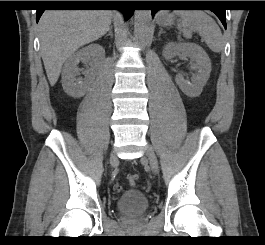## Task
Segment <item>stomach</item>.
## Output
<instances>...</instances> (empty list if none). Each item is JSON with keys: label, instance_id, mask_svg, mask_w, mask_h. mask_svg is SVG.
<instances>
[{"label": "stomach", "instance_id": "stomach-1", "mask_svg": "<svg viewBox=\"0 0 265 245\" xmlns=\"http://www.w3.org/2000/svg\"><path fill=\"white\" fill-rule=\"evenodd\" d=\"M174 19V15L167 14L162 17V19L160 20V24L162 26H171L174 23Z\"/></svg>", "mask_w": 265, "mask_h": 245}]
</instances>
